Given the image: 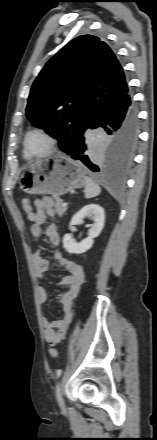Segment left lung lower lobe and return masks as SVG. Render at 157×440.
Masks as SVG:
<instances>
[{"label":"left lung lower lobe","mask_w":157,"mask_h":440,"mask_svg":"<svg viewBox=\"0 0 157 440\" xmlns=\"http://www.w3.org/2000/svg\"><path fill=\"white\" fill-rule=\"evenodd\" d=\"M96 128L110 136L97 146L84 132L65 153L93 172L122 176L131 163L138 135V112L129 89L99 109L87 130Z\"/></svg>","instance_id":"obj_1"}]
</instances>
